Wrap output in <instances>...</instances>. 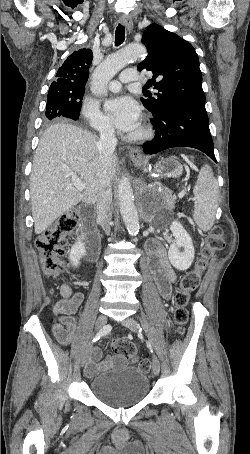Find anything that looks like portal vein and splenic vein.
<instances>
[{
	"label": "portal vein and splenic vein",
	"instance_id": "obj_1",
	"mask_svg": "<svg viewBox=\"0 0 250 454\" xmlns=\"http://www.w3.org/2000/svg\"><path fill=\"white\" fill-rule=\"evenodd\" d=\"M72 185H74L78 191H83L86 187V184L81 179H79L77 176L72 177ZM178 197L182 198V197H184V194L179 193Z\"/></svg>",
	"mask_w": 250,
	"mask_h": 454
}]
</instances>
